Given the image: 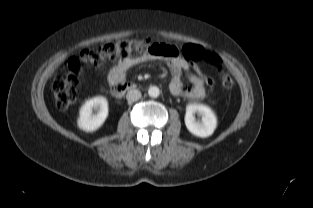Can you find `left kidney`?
<instances>
[{
  "mask_svg": "<svg viewBox=\"0 0 313 208\" xmlns=\"http://www.w3.org/2000/svg\"><path fill=\"white\" fill-rule=\"evenodd\" d=\"M195 113L202 116L201 122L196 121ZM185 124L187 129L198 137L211 136L217 127V118L210 107L203 104H188L186 106Z\"/></svg>",
  "mask_w": 313,
  "mask_h": 208,
  "instance_id": "1",
  "label": "left kidney"
}]
</instances>
